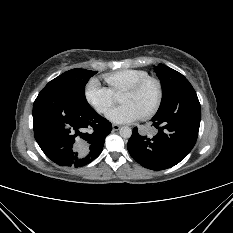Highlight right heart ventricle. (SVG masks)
Returning a JSON list of instances; mask_svg holds the SVG:
<instances>
[{"label":"right heart ventricle","mask_w":233,"mask_h":233,"mask_svg":"<svg viewBox=\"0 0 233 233\" xmlns=\"http://www.w3.org/2000/svg\"><path fill=\"white\" fill-rule=\"evenodd\" d=\"M147 76H149V73L145 70L124 69L105 74L104 80L113 94H117Z\"/></svg>","instance_id":"e07e8e85"}]
</instances>
